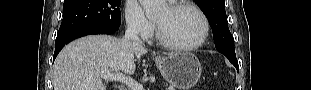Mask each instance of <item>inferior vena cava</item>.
I'll list each match as a JSON object with an SVG mask.
<instances>
[{"instance_id": "obj_1", "label": "inferior vena cava", "mask_w": 311, "mask_h": 90, "mask_svg": "<svg viewBox=\"0 0 311 90\" xmlns=\"http://www.w3.org/2000/svg\"><path fill=\"white\" fill-rule=\"evenodd\" d=\"M125 39L128 40L126 41V48H128L127 53H128V58L130 61V64L132 66H135L137 64L136 61V53L134 51L137 50V48H140L141 41L138 37V32L135 28L129 26L125 32Z\"/></svg>"}]
</instances>
